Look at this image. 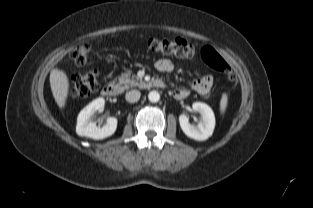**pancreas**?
Instances as JSON below:
<instances>
[{
    "mask_svg": "<svg viewBox=\"0 0 313 208\" xmlns=\"http://www.w3.org/2000/svg\"><path fill=\"white\" fill-rule=\"evenodd\" d=\"M119 85L122 86L123 89H128L129 87L139 86L142 81L139 78H135L134 76L130 79V75L128 73H123L118 79Z\"/></svg>",
    "mask_w": 313,
    "mask_h": 208,
    "instance_id": "pancreas-1",
    "label": "pancreas"
}]
</instances>
